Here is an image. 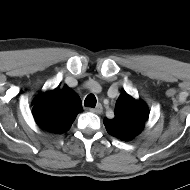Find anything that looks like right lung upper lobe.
I'll return each mask as SVG.
<instances>
[{
	"instance_id": "obj_1",
	"label": "right lung upper lobe",
	"mask_w": 190,
	"mask_h": 190,
	"mask_svg": "<svg viewBox=\"0 0 190 190\" xmlns=\"http://www.w3.org/2000/svg\"><path fill=\"white\" fill-rule=\"evenodd\" d=\"M33 117L40 128L54 134L70 129L76 115L82 111L81 99L65 85L39 93L32 101Z\"/></svg>"
}]
</instances>
